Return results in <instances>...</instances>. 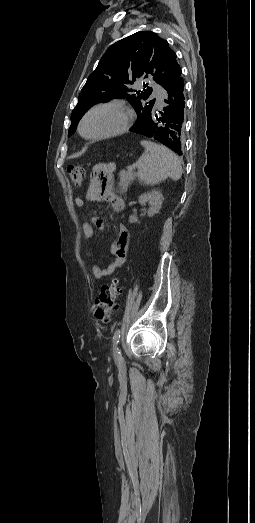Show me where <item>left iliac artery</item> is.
Masks as SVG:
<instances>
[{"label": "left iliac artery", "mask_w": 255, "mask_h": 523, "mask_svg": "<svg viewBox=\"0 0 255 523\" xmlns=\"http://www.w3.org/2000/svg\"><path fill=\"white\" fill-rule=\"evenodd\" d=\"M120 335H121V330L120 329H117L113 335V345H114V348H115V351L119 357V359L122 358L121 356V352L118 348V344H119V341H120Z\"/></svg>", "instance_id": "obj_1"}]
</instances>
